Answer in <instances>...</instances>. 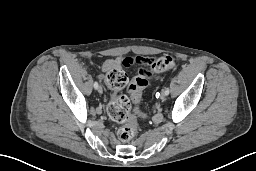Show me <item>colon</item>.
Here are the masks:
<instances>
[{"label":"colon","instance_id":"colon-1","mask_svg":"<svg viewBox=\"0 0 256 171\" xmlns=\"http://www.w3.org/2000/svg\"><path fill=\"white\" fill-rule=\"evenodd\" d=\"M150 65L151 69L156 73L165 72L173 68L174 58L170 55L152 58ZM127 80V74L122 69L111 70L105 77L106 84L114 91L107 105V113L111 120L123 124L118 130V138L123 142L131 141L137 134L138 125L136 117L132 112V103H140L142 92L148 83L143 76L134 78L127 88L130 95L128 97L118 93V91L125 87Z\"/></svg>","mask_w":256,"mask_h":171}]
</instances>
